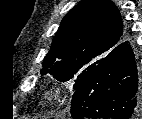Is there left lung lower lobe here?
Returning <instances> with one entry per match:
<instances>
[{"instance_id":"left-lung-lower-lobe-1","label":"left lung lower lobe","mask_w":142,"mask_h":119,"mask_svg":"<svg viewBox=\"0 0 142 119\" xmlns=\"http://www.w3.org/2000/svg\"><path fill=\"white\" fill-rule=\"evenodd\" d=\"M142 107L133 50L127 41L112 49L75 90L74 119H138Z\"/></svg>"}]
</instances>
